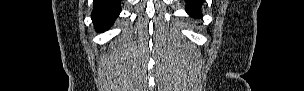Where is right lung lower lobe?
<instances>
[{
	"label": "right lung lower lobe",
	"mask_w": 304,
	"mask_h": 91,
	"mask_svg": "<svg viewBox=\"0 0 304 91\" xmlns=\"http://www.w3.org/2000/svg\"><path fill=\"white\" fill-rule=\"evenodd\" d=\"M120 0H94L91 18L97 31L108 30L121 11Z\"/></svg>",
	"instance_id": "98d812e1"
}]
</instances>
